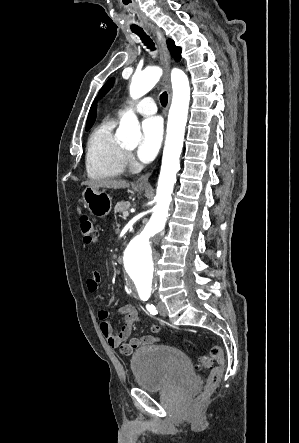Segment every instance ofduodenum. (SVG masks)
<instances>
[{
	"label": "duodenum",
	"instance_id": "duodenum-1",
	"mask_svg": "<svg viewBox=\"0 0 299 443\" xmlns=\"http://www.w3.org/2000/svg\"><path fill=\"white\" fill-rule=\"evenodd\" d=\"M116 261H117V263H122V258H121V256H117V257H116Z\"/></svg>",
	"mask_w": 299,
	"mask_h": 443
}]
</instances>
